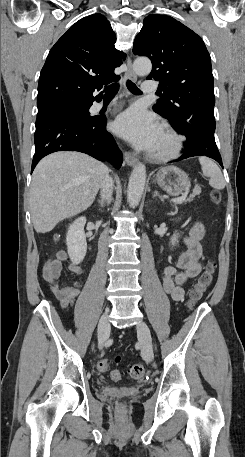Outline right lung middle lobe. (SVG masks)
I'll list each match as a JSON object with an SVG mask.
<instances>
[{
  "label": "right lung middle lobe",
  "instance_id": "1",
  "mask_svg": "<svg viewBox=\"0 0 245 457\" xmlns=\"http://www.w3.org/2000/svg\"><path fill=\"white\" fill-rule=\"evenodd\" d=\"M91 102L92 101H89V100H76V101L66 102V103L58 106L55 109L38 112L37 116L41 115L43 113H46V112L56 111V110H77V111H80V112H83V113H86L87 115H89L88 109L91 106Z\"/></svg>",
  "mask_w": 245,
  "mask_h": 457
}]
</instances>
